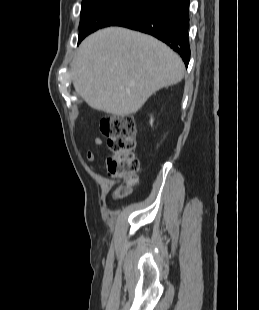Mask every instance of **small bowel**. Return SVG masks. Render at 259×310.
Here are the masks:
<instances>
[{"label":"small bowel","mask_w":259,"mask_h":310,"mask_svg":"<svg viewBox=\"0 0 259 310\" xmlns=\"http://www.w3.org/2000/svg\"><path fill=\"white\" fill-rule=\"evenodd\" d=\"M94 144L96 146H101L103 144V140L100 138V137H96L94 139ZM86 160L90 163V164H93L96 160V152L94 150V148L92 147H89L87 149V152H86Z\"/></svg>","instance_id":"small-bowel-1"}]
</instances>
